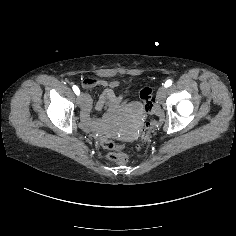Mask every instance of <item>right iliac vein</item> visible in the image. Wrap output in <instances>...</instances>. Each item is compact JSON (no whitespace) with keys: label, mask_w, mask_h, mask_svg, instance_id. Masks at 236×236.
<instances>
[{"label":"right iliac vein","mask_w":236,"mask_h":236,"mask_svg":"<svg viewBox=\"0 0 236 236\" xmlns=\"http://www.w3.org/2000/svg\"><path fill=\"white\" fill-rule=\"evenodd\" d=\"M84 102H85V94L81 93L78 97H77V104L79 107L84 106Z\"/></svg>","instance_id":"obj_1"}]
</instances>
